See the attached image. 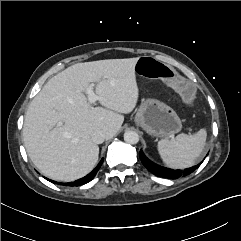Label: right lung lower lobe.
Listing matches in <instances>:
<instances>
[{"label": "right lung lower lobe", "instance_id": "98d812e1", "mask_svg": "<svg viewBox=\"0 0 241 241\" xmlns=\"http://www.w3.org/2000/svg\"><path fill=\"white\" fill-rule=\"evenodd\" d=\"M102 162H103V159L99 162V164L97 165V167L91 172L89 173L87 176L79 179V180H76L75 182H71V183H65L64 185L65 186H80V185H83V184H86L88 183L89 181H91L95 175L97 174L99 168L101 167L102 165ZM53 183H56L55 181H51Z\"/></svg>", "mask_w": 241, "mask_h": 241}]
</instances>
